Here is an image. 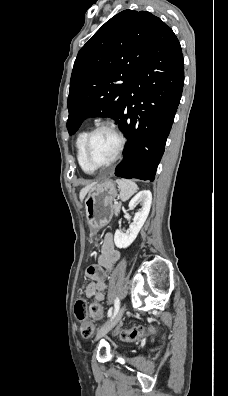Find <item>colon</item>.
<instances>
[{"mask_svg":"<svg viewBox=\"0 0 228 396\" xmlns=\"http://www.w3.org/2000/svg\"><path fill=\"white\" fill-rule=\"evenodd\" d=\"M102 307L99 304L93 303L88 306L87 302L83 298H79L75 303V315L81 322V333L84 337H89L93 331L94 326L89 317L101 318ZM154 327H135L129 330H125L121 333V337L124 340L133 341L139 339L147 334L153 333Z\"/></svg>","mask_w":228,"mask_h":396,"instance_id":"1","label":"colon"}]
</instances>
